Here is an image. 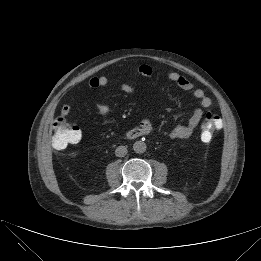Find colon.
<instances>
[{
    "label": "colon",
    "instance_id": "colon-1",
    "mask_svg": "<svg viewBox=\"0 0 261 261\" xmlns=\"http://www.w3.org/2000/svg\"><path fill=\"white\" fill-rule=\"evenodd\" d=\"M221 127V119L214 112H208L201 126V138L210 141ZM82 134L77 126L71 125L64 117H58L53 123L52 145L55 149H64L81 140Z\"/></svg>",
    "mask_w": 261,
    "mask_h": 261
}]
</instances>
